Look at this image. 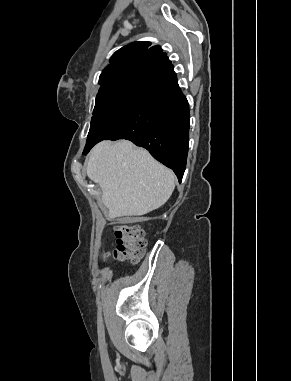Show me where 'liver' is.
Returning <instances> with one entry per match:
<instances>
[{
	"label": "liver",
	"instance_id": "obj_1",
	"mask_svg": "<svg viewBox=\"0 0 291 381\" xmlns=\"http://www.w3.org/2000/svg\"><path fill=\"white\" fill-rule=\"evenodd\" d=\"M87 176L102 190L107 219L142 216L167 202L174 173L130 141H102L91 151Z\"/></svg>",
	"mask_w": 291,
	"mask_h": 381
}]
</instances>
